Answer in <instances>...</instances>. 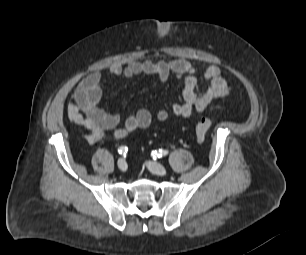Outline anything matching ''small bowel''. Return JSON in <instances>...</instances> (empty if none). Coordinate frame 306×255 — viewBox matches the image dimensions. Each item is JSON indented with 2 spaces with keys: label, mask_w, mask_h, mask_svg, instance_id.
I'll return each mask as SVG.
<instances>
[{
  "label": "small bowel",
  "mask_w": 306,
  "mask_h": 255,
  "mask_svg": "<svg viewBox=\"0 0 306 255\" xmlns=\"http://www.w3.org/2000/svg\"><path fill=\"white\" fill-rule=\"evenodd\" d=\"M109 74L125 79L141 74L156 76L161 83L168 81L171 76L183 79L182 100L170 108L159 110L156 119L160 122L166 121L170 115L189 118L194 110L204 112L213 108L217 100L226 97L230 92L226 79L216 65L205 69L203 78L208 82V87L200 91L196 70L185 59L132 61L126 65L116 63L110 67ZM102 82V72L96 71L89 74L80 82L73 99L68 104L70 120L88 131L85 137L88 144H95L106 132L115 139L122 140L138 129L151 126L153 116L147 108L143 107L129 113L123 125L120 126V115L108 113L100 106Z\"/></svg>",
  "instance_id": "c3829d8e"
}]
</instances>
